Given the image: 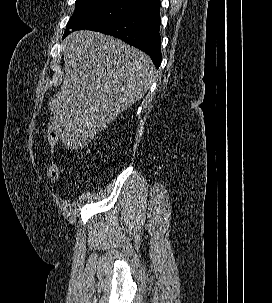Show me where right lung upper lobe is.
<instances>
[{
    "instance_id": "obj_1",
    "label": "right lung upper lobe",
    "mask_w": 272,
    "mask_h": 303,
    "mask_svg": "<svg viewBox=\"0 0 272 303\" xmlns=\"http://www.w3.org/2000/svg\"><path fill=\"white\" fill-rule=\"evenodd\" d=\"M124 1L132 2L136 4L139 7V9H144L146 7L155 5L156 3L160 2V0H124Z\"/></svg>"
}]
</instances>
